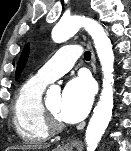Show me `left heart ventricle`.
<instances>
[{"mask_svg":"<svg viewBox=\"0 0 131 151\" xmlns=\"http://www.w3.org/2000/svg\"><path fill=\"white\" fill-rule=\"evenodd\" d=\"M62 96L60 94H55L47 99V104L51 111L59 118V109L61 104Z\"/></svg>","mask_w":131,"mask_h":151,"instance_id":"obj_1","label":"left heart ventricle"}]
</instances>
